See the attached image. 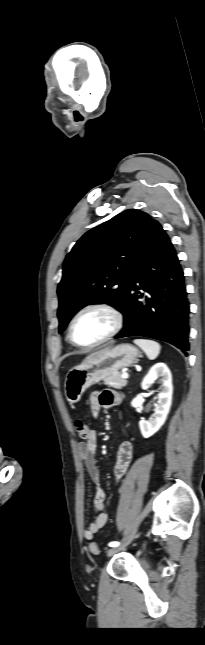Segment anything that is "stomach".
<instances>
[{
	"label": "stomach",
	"instance_id": "0dacf381",
	"mask_svg": "<svg viewBox=\"0 0 205 645\" xmlns=\"http://www.w3.org/2000/svg\"><path fill=\"white\" fill-rule=\"evenodd\" d=\"M138 356L139 350L133 345L119 344L72 368L64 383L66 400L71 405L78 402L89 387L130 366Z\"/></svg>",
	"mask_w": 205,
	"mask_h": 645
}]
</instances>
